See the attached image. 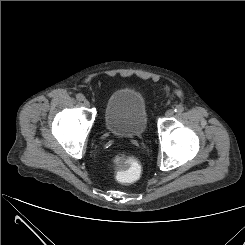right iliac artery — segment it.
I'll return each mask as SVG.
<instances>
[{"label": "right iliac artery", "instance_id": "obj_1", "mask_svg": "<svg viewBox=\"0 0 245 245\" xmlns=\"http://www.w3.org/2000/svg\"><path fill=\"white\" fill-rule=\"evenodd\" d=\"M76 98L79 101H83L85 99L84 95L83 94H80V93L76 95Z\"/></svg>", "mask_w": 245, "mask_h": 245}]
</instances>
